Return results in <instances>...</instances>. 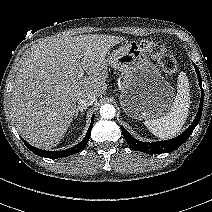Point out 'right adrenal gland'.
<instances>
[{"mask_svg":"<svg viewBox=\"0 0 212 212\" xmlns=\"http://www.w3.org/2000/svg\"><path fill=\"white\" fill-rule=\"evenodd\" d=\"M85 109H87V107H85V106H77L75 114H74L75 118L77 117L78 112H80V114L83 115L84 114L83 110H85Z\"/></svg>","mask_w":212,"mask_h":212,"instance_id":"right-adrenal-gland-1","label":"right adrenal gland"}]
</instances>
